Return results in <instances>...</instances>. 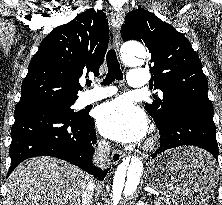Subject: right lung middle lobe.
<instances>
[{"label":"right lung middle lobe","instance_id":"1","mask_svg":"<svg viewBox=\"0 0 222 205\" xmlns=\"http://www.w3.org/2000/svg\"><path fill=\"white\" fill-rule=\"evenodd\" d=\"M75 101L72 102H63V101H48L40 104L37 107H47L54 110H57L59 112L65 113L69 117L77 120H84L87 116V114L79 111L74 112V109H72V105Z\"/></svg>","mask_w":222,"mask_h":205}]
</instances>
